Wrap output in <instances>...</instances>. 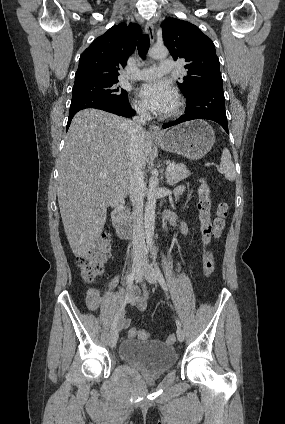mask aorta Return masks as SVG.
Instances as JSON below:
<instances>
[{
    "label": "aorta",
    "instance_id": "obj_1",
    "mask_svg": "<svg viewBox=\"0 0 285 424\" xmlns=\"http://www.w3.org/2000/svg\"><path fill=\"white\" fill-rule=\"evenodd\" d=\"M149 56L153 59H163L168 56V49L165 46H154L149 50ZM159 183L158 174H152L149 179V189L147 193V202L144 213V229L146 242L148 245L153 243L155 228V209H156V193Z\"/></svg>",
    "mask_w": 285,
    "mask_h": 424
}]
</instances>
